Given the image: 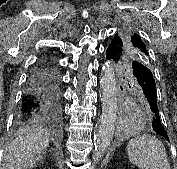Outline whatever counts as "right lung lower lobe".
<instances>
[{"label": "right lung lower lobe", "mask_w": 177, "mask_h": 169, "mask_svg": "<svg viewBox=\"0 0 177 169\" xmlns=\"http://www.w3.org/2000/svg\"><path fill=\"white\" fill-rule=\"evenodd\" d=\"M60 100L59 73L49 61H42L29 74L18 119L58 121L61 117Z\"/></svg>", "instance_id": "98d812e1"}]
</instances>
